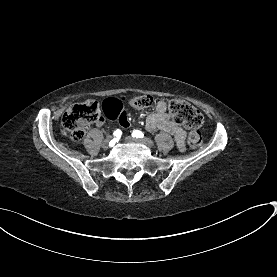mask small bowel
Listing matches in <instances>:
<instances>
[{"mask_svg":"<svg viewBox=\"0 0 277 277\" xmlns=\"http://www.w3.org/2000/svg\"><path fill=\"white\" fill-rule=\"evenodd\" d=\"M102 125L103 120L97 122V126ZM145 126L148 131L159 129L172 134L176 140L177 146L180 149L184 148L186 133L182 127L171 120L166 101L159 100L155 103L154 111L147 116Z\"/></svg>","mask_w":277,"mask_h":277,"instance_id":"1","label":"small bowel"}]
</instances>
